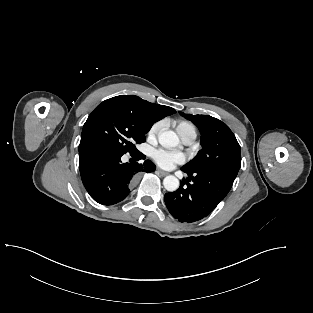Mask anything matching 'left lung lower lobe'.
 Masks as SVG:
<instances>
[{"label": "left lung lower lobe", "mask_w": 313, "mask_h": 313, "mask_svg": "<svg viewBox=\"0 0 313 313\" xmlns=\"http://www.w3.org/2000/svg\"><path fill=\"white\" fill-rule=\"evenodd\" d=\"M181 170L188 174V178L183 179L177 191L166 193L164 197L169 212L180 222L191 223L209 215L226 197L236 178L221 171L194 173Z\"/></svg>", "instance_id": "0a47b994"}]
</instances>
